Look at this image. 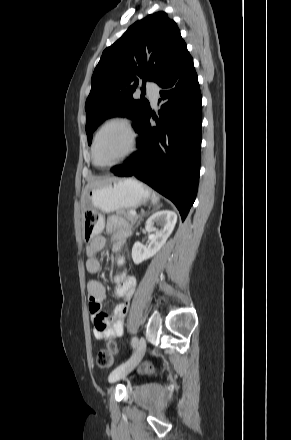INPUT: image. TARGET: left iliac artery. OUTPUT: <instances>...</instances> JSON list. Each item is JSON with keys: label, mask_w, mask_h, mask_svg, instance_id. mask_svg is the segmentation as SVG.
Wrapping results in <instances>:
<instances>
[{"label": "left iliac artery", "mask_w": 291, "mask_h": 440, "mask_svg": "<svg viewBox=\"0 0 291 440\" xmlns=\"http://www.w3.org/2000/svg\"><path fill=\"white\" fill-rule=\"evenodd\" d=\"M131 344H132V347L135 348L137 346V344H138V338L137 337H133L132 340H131Z\"/></svg>", "instance_id": "left-iliac-artery-1"}]
</instances>
